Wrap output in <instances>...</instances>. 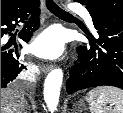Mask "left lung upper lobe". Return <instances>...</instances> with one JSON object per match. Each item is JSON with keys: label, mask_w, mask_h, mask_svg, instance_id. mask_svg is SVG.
Listing matches in <instances>:
<instances>
[{"label": "left lung upper lobe", "mask_w": 123, "mask_h": 113, "mask_svg": "<svg viewBox=\"0 0 123 113\" xmlns=\"http://www.w3.org/2000/svg\"><path fill=\"white\" fill-rule=\"evenodd\" d=\"M81 4H94L102 12H114L123 16V0H74Z\"/></svg>", "instance_id": "5c2ea615"}]
</instances>
